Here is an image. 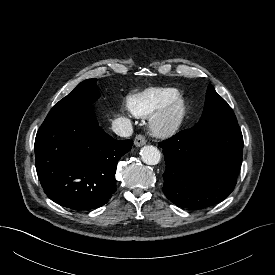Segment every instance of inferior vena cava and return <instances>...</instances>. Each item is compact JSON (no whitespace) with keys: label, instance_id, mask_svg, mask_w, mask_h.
Instances as JSON below:
<instances>
[{"label":"inferior vena cava","instance_id":"602c4592","mask_svg":"<svg viewBox=\"0 0 275 275\" xmlns=\"http://www.w3.org/2000/svg\"><path fill=\"white\" fill-rule=\"evenodd\" d=\"M112 130L120 137H129L133 133L132 123L128 118H118L112 123Z\"/></svg>","mask_w":275,"mask_h":275}]
</instances>
